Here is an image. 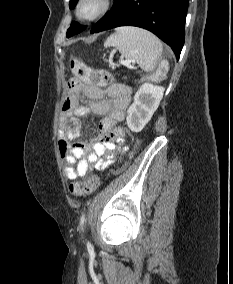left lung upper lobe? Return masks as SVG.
Wrapping results in <instances>:
<instances>
[{
    "label": "left lung upper lobe",
    "mask_w": 233,
    "mask_h": 284,
    "mask_svg": "<svg viewBox=\"0 0 233 284\" xmlns=\"http://www.w3.org/2000/svg\"><path fill=\"white\" fill-rule=\"evenodd\" d=\"M78 0H70L69 8L72 9L76 6ZM85 26L79 25L77 22H72L71 26L67 30L66 36L71 37L79 32L83 31Z\"/></svg>",
    "instance_id": "left-lung-upper-lobe-1"
}]
</instances>
